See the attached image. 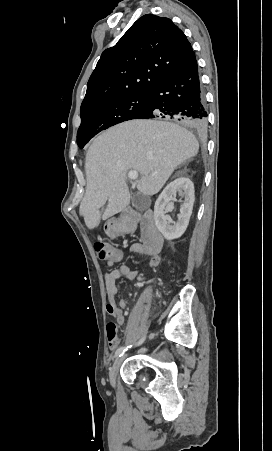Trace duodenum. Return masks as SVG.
<instances>
[{
    "instance_id": "obj_1",
    "label": "duodenum",
    "mask_w": 272,
    "mask_h": 451,
    "mask_svg": "<svg viewBox=\"0 0 272 451\" xmlns=\"http://www.w3.org/2000/svg\"><path fill=\"white\" fill-rule=\"evenodd\" d=\"M138 225H140L142 231L144 251L148 254L159 253L163 246V237L151 212H147L141 217L130 213L117 220L110 221L108 230L112 236L120 237L135 231Z\"/></svg>"
}]
</instances>
